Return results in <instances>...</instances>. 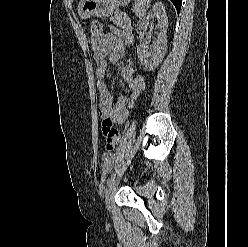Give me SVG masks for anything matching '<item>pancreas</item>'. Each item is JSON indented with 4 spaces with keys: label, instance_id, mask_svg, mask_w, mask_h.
<instances>
[{
    "label": "pancreas",
    "instance_id": "1",
    "mask_svg": "<svg viewBox=\"0 0 248 247\" xmlns=\"http://www.w3.org/2000/svg\"><path fill=\"white\" fill-rule=\"evenodd\" d=\"M112 21L118 25L119 27H122V28H129L130 27V20L127 16H119V17H115L112 19Z\"/></svg>",
    "mask_w": 248,
    "mask_h": 247
}]
</instances>
